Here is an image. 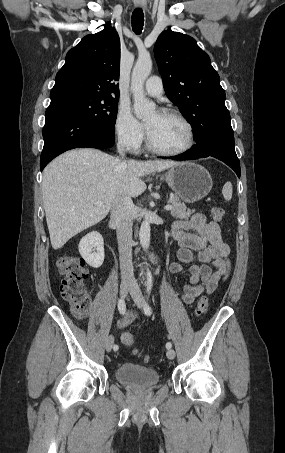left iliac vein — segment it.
I'll use <instances>...</instances> for the list:
<instances>
[{
  "label": "left iliac vein",
  "mask_w": 285,
  "mask_h": 453,
  "mask_svg": "<svg viewBox=\"0 0 285 453\" xmlns=\"http://www.w3.org/2000/svg\"><path fill=\"white\" fill-rule=\"evenodd\" d=\"M130 295L138 308H142L144 306V303H145L144 297H143L140 287L137 283H134L132 285V288L130 290ZM166 355H167L168 359L172 360L175 358V351L173 349H168Z\"/></svg>",
  "instance_id": "left-iliac-vein-1"
}]
</instances>
